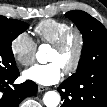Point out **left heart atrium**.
Returning <instances> with one entry per match:
<instances>
[{"label":"left heart atrium","instance_id":"39dd6f15","mask_svg":"<svg viewBox=\"0 0 107 107\" xmlns=\"http://www.w3.org/2000/svg\"><path fill=\"white\" fill-rule=\"evenodd\" d=\"M63 75V68L56 61L47 64H37L24 72V77L40 85L57 83Z\"/></svg>","mask_w":107,"mask_h":107}]
</instances>
